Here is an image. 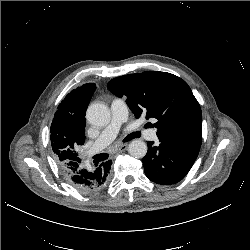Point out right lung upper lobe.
Returning <instances> with one entry per match:
<instances>
[{"mask_svg": "<svg viewBox=\"0 0 250 250\" xmlns=\"http://www.w3.org/2000/svg\"><path fill=\"white\" fill-rule=\"evenodd\" d=\"M96 89L94 83L84 84L73 89L58 105L51 124V145L59 164L70 161L79 162L77 158L70 160L64 152L57 151L64 145H79L85 141V112Z\"/></svg>", "mask_w": 250, "mask_h": 250, "instance_id": "1", "label": "right lung upper lobe"}]
</instances>
